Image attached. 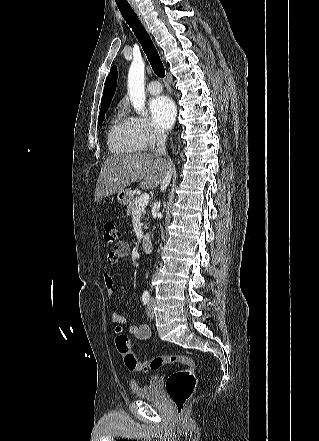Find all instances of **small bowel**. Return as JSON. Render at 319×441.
<instances>
[{
  "label": "small bowel",
  "mask_w": 319,
  "mask_h": 441,
  "mask_svg": "<svg viewBox=\"0 0 319 441\" xmlns=\"http://www.w3.org/2000/svg\"><path fill=\"white\" fill-rule=\"evenodd\" d=\"M129 244L125 241H120L113 251L107 255V262L110 265H115L120 259L125 258L129 254ZM104 284L108 298L114 296V279L112 275H104ZM111 320L117 324H124L127 322V317L119 314L116 311L111 313ZM128 332L138 340H147L150 338L151 332L147 325H133L128 328Z\"/></svg>",
  "instance_id": "small-bowel-1"
}]
</instances>
